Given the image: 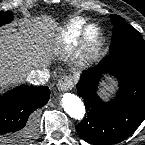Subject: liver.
Listing matches in <instances>:
<instances>
[{
	"label": "liver",
	"instance_id": "obj_1",
	"mask_svg": "<svg viewBox=\"0 0 145 145\" xmlns=\"http://www.w3.org/2000/svg\"><path fill=\"white\" fill-rule=\"evenodd\" d=\"M55 24L47 17L24 19L17 29L0 31V86L16 84L38 63L50 46Z\"/></svg>",
	"mask_w": 145,
	"mask_h": 145
}]
</instances>
